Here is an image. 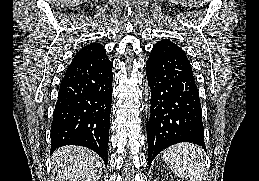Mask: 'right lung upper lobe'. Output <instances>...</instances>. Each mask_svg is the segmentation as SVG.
Returning a JSON list of instances; mask_svg holds the SVG:
<instances>
[{
	"mask_svg": "<svg viewBox=\"0 0 259 181\" xmlns=\"http://www.w3.org/2000/svg\"><path fill=\"white\" fill-rule=\"evenodd\" d=\"M104 51L106 50L101 44L91 43L88 46H85L81 50H79L74 56V58L72 59L71 63L96 56Z\"/></svg>",
	"mask_w": 259,
	"mask_h": 181,
	"instance_id": "cb5924a9",
	"label": "right lung upper lobe"
}]
</instances>
